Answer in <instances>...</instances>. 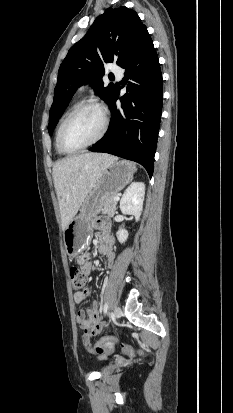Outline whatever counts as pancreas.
Returning <instances> with one entry per match:
<instances>
[{
	"label": "pancreas",
	"instance_id": "cf45deb5",
	"mask_svg": "<svg viewBox=\"0 0 233 413\" xmlns=\"http://www.w3.org/2000/svg\"><path fill=\"white\" fill-rule=\"evenodd\" d=\"M115 195H109L104 197L101 202L99 203L98 209L102 213L108 214L109 216H113L117 201L114 200Z\"/></svg>",
	"mask_w": 233,
	"mask_h": 413
}]
</instances>
